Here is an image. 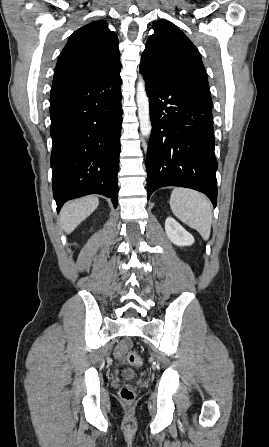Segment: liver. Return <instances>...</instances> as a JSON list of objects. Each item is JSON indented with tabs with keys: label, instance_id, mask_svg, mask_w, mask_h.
Segmentation results:
<instances>
[{
	"label": "liver",
	"instance_id": "liver-1",
	"mask_svg": "<svg viewBox=\"0 0 269 447\" xmlns=\"http://www.w3.org/2000/svg\"><path fill=\"white\" fill-rule=\"evenodd\" d=\"M99 200L96 196H86L79 200H72L65 204L60 214V224L66 233H71L77 225L86 220L96 208H98Z\"/></svg>",
	"mask_w": 269,
	"mask_h": 447
}]
</instances>
